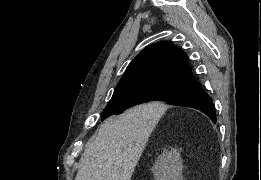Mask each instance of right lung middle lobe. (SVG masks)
<instances>
[{"label":"right lung middle lobe","mask_w":261,"mask_h":180,"mask_svg":"<svg viewBox=\"0 0 261 180\" xmlns=\"http://www.w3.org/2000/svg\"><path fill=\"white\" fill-rule=\"evenodd\" d=\"M202 91L200 83L190 81H158L130 86L114 91L113 96L101 115L103 121L107 117L121 114L126 109L150 101H173L194 95Z\"/></svg>","instance_id":"1"}]
</instances>
